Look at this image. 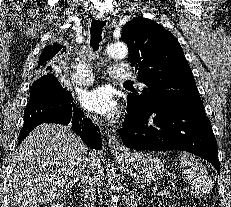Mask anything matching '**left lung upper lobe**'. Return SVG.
Wrapping results in <instances>:
<instances>
[{"label":"left lung upper lobe","mask_w":231,"mask_h":207,"mask_svg":"<svg viewBox=\"0 0 231 207\" xmlns=\"http://www.w3.org/2000/svg\"><path fill=\"white\" fill-rule=\"evenodd\" d=\"M120 40L128 44V62L135 66L138 80L147 85L142 92L128 95L129 111L201 101L183 50L169 31L150 19L135 18L123 26Z\"/></svg>","instance_id":"1"}]
</instances>
